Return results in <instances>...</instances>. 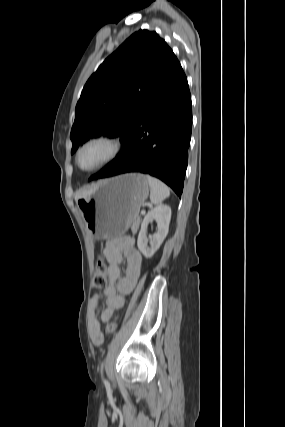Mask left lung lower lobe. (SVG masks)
Wrapping results in <instances>:
<instances>
[{
    "label": "left lung lower lobe",
    "instance_id": "1",
    "mask_svg": "<svg viewBox=\"0 0 285 427\" xmlns=\"http://www.w3.org/2000/svg\"><path fill=\"white\" fill-rule=\"evenodd\" d=\"M191 127L187 78L172 52L144 110L123 142L122 152L89 180L141 172L161 179L181 196Z\"/></svg>",
    "mask_w": 285,
    "mask_h": 427
}]
</instances>
